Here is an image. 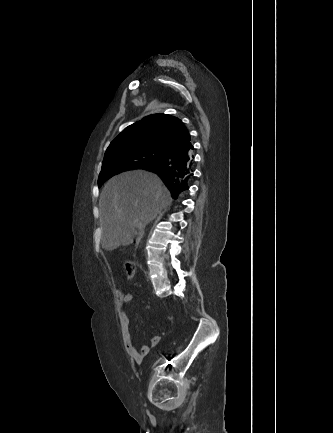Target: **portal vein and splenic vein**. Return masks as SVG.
I'll use <instances>...</instances> for the list:
<instances>
[{
	"label": "portal vein and splenic vein",
	"instance_id": "portal-vein-and-splenic-vein-1",
	"mask_svg": "<svg viewBox=\"0 0 333 433\" xmlns=\"http://www.w3.org/2000/svg\"><path fill=\"white\" fill-rule=\"evenodd\" d=\"M134 224L136 225V226H138L139 228H140V226H141V224L138 222V220L136 219V220H134Z\"/></svg>",
	"mask_w": 333,
	"mask_h": 433
}]
</instances>
